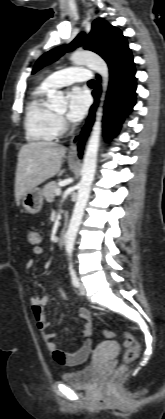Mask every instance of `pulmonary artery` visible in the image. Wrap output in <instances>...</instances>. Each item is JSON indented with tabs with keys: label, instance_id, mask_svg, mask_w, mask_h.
<instances>
[{
	"label": "pulmonary artery",
	"instance_id": "e3ab8cb5",
	"mask_svg": "<svg viewBox=\"0 0 165 419\" xmlns=\"http://www.w3.org/2000/svg\"><path fill=\"white\" fill-rule=\"evenodd\" d=\"M91 79L90 70L84 67H69L49 75L43 83L50 88H60L75 82H84Z\"/></svg>",
	"mask_w": 165,
	"mask_h": 419
}]
</instances>
